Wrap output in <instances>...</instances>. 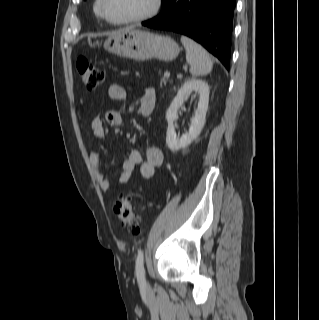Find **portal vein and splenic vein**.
Wrapping results in <instances>:
<instances>
[{"label": "portal vein and splenic vein", "mask_w": 319, "mask_h": 320, "mask_svg": "<svg viewBox=\"0 0 319 320\" xmlns=\"http://www.w3.org/2000/svg\"><path fill=\"white\" fill-rule=\"evenodd\" d=\"M164 76L169 78L170 77V72H165Z\"/></svg>", "instance_id": "1"}]
</instances>
